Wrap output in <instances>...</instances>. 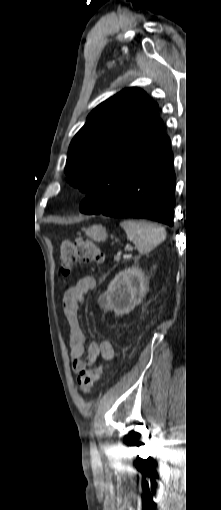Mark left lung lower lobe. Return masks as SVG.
Instances as JSON below:
<instances>
[{
  "label": "left lung lower lobe",
  "mask_w": 221,
  "mask_h": 510,
  "mask_svg": "<svg viewBox=\"0 0 221 510\" xmlns=\"http://www.w3.org/2000/svg\"><path fill=\"white\" fill-rule=\"evenodd\" d=\"M173 154L167 148L150 158L102 209L83 200L80 211L120 218H147L173 226L175 206Z\"/></svg>",
  "instance_id": "left-lung-lower-lobe-1"
}]
</instances>
